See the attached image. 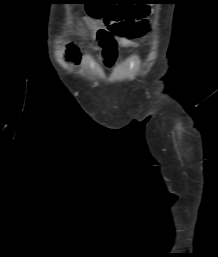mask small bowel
<instances>
[{"label":"small bowel","mask_w":218,"mask_h":257,"mask_svg":"<svg viewBox=\"0 0 218 257\" xmlns=\"http://www.w3.org/2000/svg\"><path fill=\"white\" fill-rule=\"evenodd\" d=\"M88 26L92 38L98 41V44H93L92 47L99 52L103 64H116L119 49L137 46V42L131 38L111 32L106 23L101 20H88ZM108 73H117V68H108Z\"/></svg>","instance_id":"c3829d8e"}]
</instances>
